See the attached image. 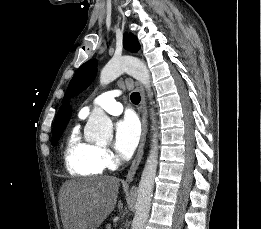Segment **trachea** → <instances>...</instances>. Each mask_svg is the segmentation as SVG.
I'll return each instance as SVG.
<instances>
[{
    "label": "trachea",
    "mask_w": 261,
    "mask_h": 229,
    "mask_svg": "<svg viewBox=\"0 0 261 229\" xmlns=\"http://www.w3.org/2000/svg\"><path fill=\"white\" fill-rule=\"evenodd\" d=\"M131 101L133 102V104H139L141 97L140 94L138 92H133L130 96Z\"/></svg>",
    "instance_id": "1"
}]
</instances>
